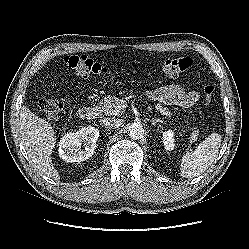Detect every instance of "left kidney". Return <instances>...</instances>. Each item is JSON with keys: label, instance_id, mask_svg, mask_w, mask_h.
Segmentation results:
<instances>
[{"label": "left kidney", "instance_id": "1", "mask_svg": "<svg viewBox=\"0 0 249 249\" xmlns=\"http://www.w3.org/2000/svg\"><path fill=\"white\" fill-rule=\"evenodd\" d=\"M162 138L164 148L167 151H172L175 147L174 132L172 130L164 131Z\"/></svg>", "mask_w": 249, "mask_h": 249}]
</instances>
